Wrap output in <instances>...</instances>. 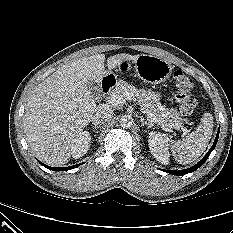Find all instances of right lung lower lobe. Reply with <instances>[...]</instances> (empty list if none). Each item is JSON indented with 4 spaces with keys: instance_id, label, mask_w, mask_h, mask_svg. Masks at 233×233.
Returning <instances> with one entry per match:
<instances>
[{
    "instance_id": "1",
    "label": "right lung lower lobe",
    "mask_w": 233,
    "mask_h": 233,
    "mask_svg": "<svg viewBox=\"0 0 233 233\" xmlns=\"http://www.w3.org/2000/svg\"><path fill=\"white\" fill-rule=\"evenodd\" d=\"M41 165L45 166L46 168L50 169V170H53V171H67V170H70V169H73V168H76L78 167L80 164L78 165H74V166H69V167H50V166H47V165H44L43 163L40 162Z\"/></svg>"
}]
</instances>
